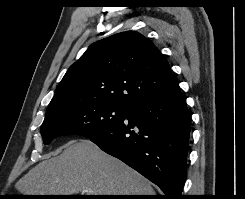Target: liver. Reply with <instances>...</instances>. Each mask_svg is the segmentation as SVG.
<instances>
[{"instance_id": "6515ba94", "label": "liver", "mask_w": 245, "mask_h": 199, "mask_svg": "<svg viewBox=\"0 0 245 199\" xmlns=\"http://www.w3.org/2000/svg\"><path fill=\"white\" fill-rule=\"evenodd\" d=\"M24 195H154L148 180L87 139L70 141L56 157L32 168L15 185Z\"/></svg>"}]
</instances>
